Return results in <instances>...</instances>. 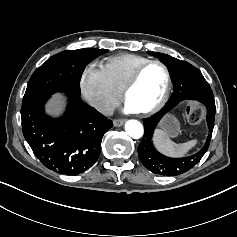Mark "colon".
<instances>
[{
    "label": "colon",
    "mask_w": 237,
    "mask_h": 237,
    "mask_svg": "<svg viewBox=\"0 0 237 237\" xmlns=\"http://www.w3.org/2000/svg\"><path fill=\"white\" fill-rule=\"evenodd\" d=\"M205 110L196 101H191L186 107V118L192 124H197L205 118Z\"/></svg>",
    "instance_id": "1"
}]
</instances>
